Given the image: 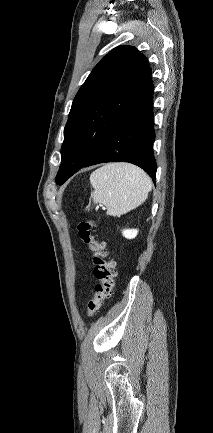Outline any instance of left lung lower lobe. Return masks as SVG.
<instances>
[{
  "label": "left lung lower lobe",
  "mask_w": 213,
  "mask_h": 433,
  "mask_svg": "<svg viewBox=\"0 0 213 433\" xmlns=\"http://www.w3.org/2000/svg\"><path fill=\"white\" fill-rule=\"evenodd\" d=\"M153 83L151 76L117 119L101 147L84 167L104 162H129L141 167L155 182L153 155Z\"/></svg>",
  "instance_id": "left-lung-lower-lobe-1"
}]
</instances>
